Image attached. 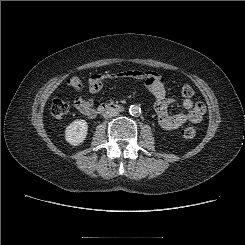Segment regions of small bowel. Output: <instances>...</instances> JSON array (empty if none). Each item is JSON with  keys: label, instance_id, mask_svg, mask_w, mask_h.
<instances>
[{"label": "small bowel", "instance_id": "c3829d8e", "mask_svg": "<svg viewBox=\"0 0 245 245\" xmlns=\"http://www.w3.org/2000/svg\"><path fill=\"white\" fill-rule=\"evenodd\" d=\"M118 78L138 79L145 83L149 94L155 99L154 110L157 115L158 123L165 131L178 129L187 122L199 123L205 115V105L200 101L194 102L191 98H185L181 103V106L188 111L187 114H170L168 107L175 101L166 95L168 81L154 71L133 69L114 74H95L89 79V90L97 91L104 83ZM75 107L79 112L89 118L95 115L94 102L91 99L77 97L75 99Z\"/></svg>", "mask_w": 245, "mask_h": 245}]
</instances>
